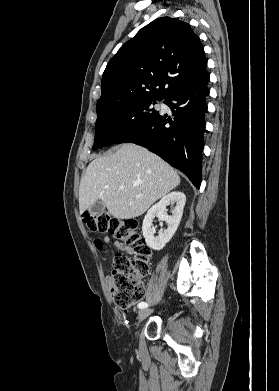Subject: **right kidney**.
<instances>
[{"mask_svg": "<svg viewBox=\"0 0 279 391\" xmlns=\"http://www.w3.org/2000/svg\"><path fill=\"white\" fill-rule=\"evenodd\" d=\"M185 202L186 197L184 193L173 191L165 195L148 210L142 224L143 236L148 247L154 250H161L170 241L181 221ZM169 204L175 205L172 215H167L166 207ZM155 217L167 223V229L160 231L158 236H155V228L152 226Z\"/></svg>", "mask_w": 279, "mask_h": 391, "instance_id": "obj_1", "label": "right kidney"}]
</instances>
